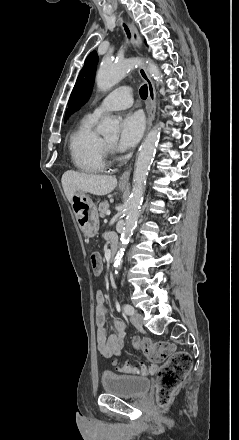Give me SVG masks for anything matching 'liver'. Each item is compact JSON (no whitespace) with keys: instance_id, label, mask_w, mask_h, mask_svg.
<instances>
[{"instance_id":"6515ba94","label":"liver","mask_w":239,"mask_h":440,"mask_svg":"<svg viewBox=\"0 0 239 440\" xmlns=\"http://www.w3.org/2000/svg\"><path fill=\"white\" fill-rule=\"evenodd\" d=\"M62 186L64 194L72 204V198L76 192H89L94 196H106L113 192L117 186L115 176H96V174H81L68 170L62 176Z\"/></svg>"}]
</instances>
